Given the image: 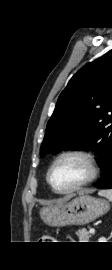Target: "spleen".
<instances>
[{"label":"spleen","instance_id":"3e777b00","mask_svg":"<svg viewBox=\"0 0 112 270\" xmlns=\"http://www.w3.org/2000/svg\"><path fill=\"white\" fill-rule=\"evenodd\" d=\"M98 195L106 197L109 201L112 202V189H108V190H100L98 192Z\"/></svg>","mask_w":112,"mask_h":270}]
</instances>
